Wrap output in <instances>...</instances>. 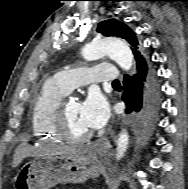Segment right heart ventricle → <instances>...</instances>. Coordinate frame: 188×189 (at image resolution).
Returning a JSON list of instances; mask_svg holds the SVG:
<instances>
[{"label": "right heart ventricle", "mask_w": 188, "mask_h": 189, "mask_svg": "<svg viewBox=\"0 0 188 189\" xmlns=\"http://www.w3.org/2000/svg\"><path fill=\"white\" fill-rule=\"evenodd\" d=\"M69 93L54 78L46 80L31 107V130L38 140L59 142L61 140L54 127V114Z\"/></svg>", "instance_id": "1"}]
</instances>
